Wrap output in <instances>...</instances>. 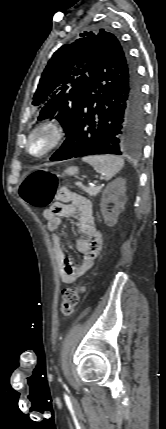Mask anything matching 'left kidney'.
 Returning <instances> with one entry per match:
<instances>
[{"label": "left kidney", "mask_w": 166, "mask_h": 429, "mask_svg": "<svg viewBox=\"0 0 166 429\" xmlns=\"http://www.w3.org/2000/svg\"><path fill=\"white\" fill-rule=\"evenodd\" d=\"M126 181L123 178H117L110 182L102 193L101 198V213L103 215L105 224L109 227H113L118 220V216L124 210L127 197ZM113 203L112 212H108V204Z\"/></svg>", "instance_id": "5707ae66"}]
</instances>
